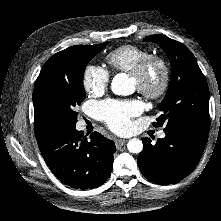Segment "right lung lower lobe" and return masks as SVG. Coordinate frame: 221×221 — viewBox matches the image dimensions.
<instances>
[{
    "instance_id": "obj_1",
    "label": "right lung lower lobe",
    "mask_w": 221,
    "mask_h": 221,
    "mask_svg": "<svg viewBox=\"0 0 221 221\" xmlns=\"http://www.w3.org/2000/svg\"><path fill=\"white\" fill-rule=\"evenodd\" d=\"M37 141L50 170L72 188L98 187L111 174L116 147L98 132L88 139L75 126L57 127Z\"/></svg>"
}]
</instances>
